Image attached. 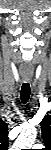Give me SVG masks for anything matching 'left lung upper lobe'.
I'll list each match as a JSON object with an SVG mask.
<instances>
[{"label":"left lung upper lobe","instance_id":"obj_1","mask_svg":"<svg viewBox=\"0 0 51 150\" xmlns=\"http://www.w3.org/2000/svg\"><path fill=\"white\" fill-rule=\"evenodd\" d=\"M43 142L47 148L51 146V116H46L41 121Z\"/></svg>","mask_w":51,"mask_h":150}]
</instances>
